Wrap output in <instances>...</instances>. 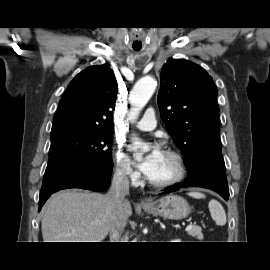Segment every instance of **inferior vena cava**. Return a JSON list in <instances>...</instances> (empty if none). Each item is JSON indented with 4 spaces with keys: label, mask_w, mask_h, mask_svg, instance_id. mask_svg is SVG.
<instances>
[{
    "label": "inferior vena cava",
    "mask_w": 270,
    "mask_h": 270,
    "mask_svg": "<svg viewBox=\"0 0 270 270\" xmlns=\"http://www.w3.org/2000/svg\"><path fill=\"white\" fill-rule=\"evenodd\" d=\"M128 168L126 166L115 170L112 184L109 190L116 204L117 218L112 225L110 231L111 242H119V239L126 227L127 216L124 214L123 207L125 204V196L129 194V179L127 177Z\"/></svg>",
    "instance_id": "obj_1"
}]
</instances>
